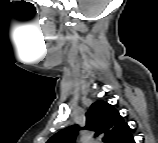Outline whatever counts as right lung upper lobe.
<instances>
[{
    "mask_svg": "<svg viewBox=\"0 0 158 143\" xmlns=\"http://www.w3.org/2000/svg\"><path fill=\"white\" fill-rule=\"evenodd\" d=\"M80 129L94 130L95 136L105 135L109 143H128L133 138L130 127L119 112L111 104L97 101L86 113L85 127L69 126L52 136L48 143H74Z\"/></svg>",
    "mask_w": 158,
    "mask_h": 143,
    "instance_id": "right-lung-upper-lobe-1",
    "label": "right lung upper lobe"
}]
</instances>
